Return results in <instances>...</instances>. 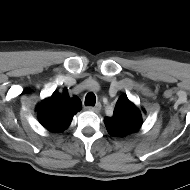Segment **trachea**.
Wrapping results in <instances>:
<instances>
[{
  "mask_svg": "<svg viewBox=\"0 0 190 190\" xmlns=\"http://www.w3.org/2000/svg\"><path fill=\"white\" fill-rule=\"evenodd\" d=\"M96 103V96L93 92H90L85 97V106H94Z\"/></svg>",
  "mask_w": 190,
  "mask_h": 190,
  "instance_id": "3493384b",
  "label": "trachea"
}]
</instances>
